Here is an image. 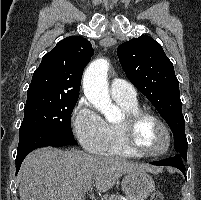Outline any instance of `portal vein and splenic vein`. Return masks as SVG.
Returning <instances> with one entry per match:
<instances>
[{"label": "portal vein and splenic vein", "mask_w": 201, "mask_h": 200, "mask_svg": "<svg viewBox=\"0 0 201 200\" xmlns=\"http://www.w3.org/2000/svg\"><path fill=\"white\" fill-rule=\"evenodd\" d=\"M91 186H92V183H89V184L85 187L84 192H88V191L91 189ZM92 198H94V197L92 196Z\"/></svg>", "instance_id": "1"}]
</instances>
